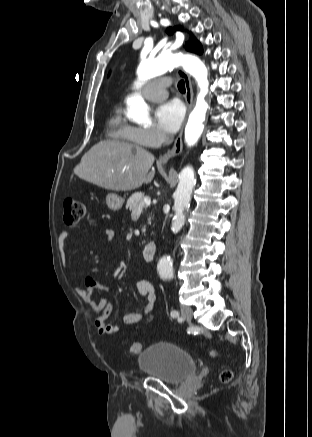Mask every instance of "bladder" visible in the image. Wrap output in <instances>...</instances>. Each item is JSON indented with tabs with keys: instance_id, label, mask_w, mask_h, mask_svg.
Segmentation results:
<instances>
[{
	"instance_id": "bladder-1",
	"label": "bladder",
	"mask_w": 312,
	"mask_h": 437,
	"mask_svg": "<svg viewBox=\"0 0 312 437\" xmlns=\"http://www.w3.org/2000/svg\"><path fill=\"white\" fill-rule=\"evenodd\" d=\"M139 369L150 378L167 384H179L197 371L195 359L181 347L169 342H156L138 356Z\"/></svg>"
}]
</instances>
